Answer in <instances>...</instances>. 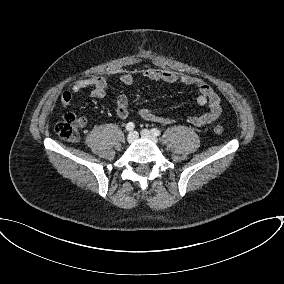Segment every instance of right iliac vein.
Wrapping results in <instances>:
<instances>
[{"mask_svg":"<svg viewBox=\"0 0 284 284\" xmlns=\"http://www.w3.org/2000/svg\"><path fill=\"white\" fill-rule=\"evenodd\" d=\"M138 138V134L135 131H131L127 136V142L132 143Z\"/></svg>","mask_w":284,"mask_h":284,"instance_id":"1","label":"right iliac vein"}]
</instances>
